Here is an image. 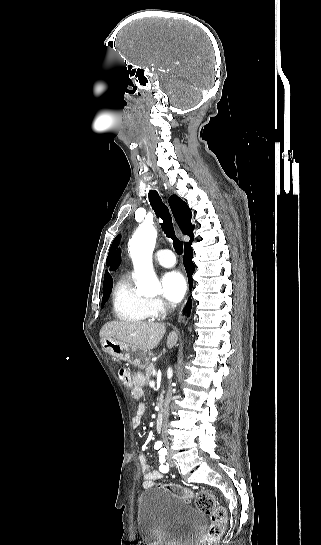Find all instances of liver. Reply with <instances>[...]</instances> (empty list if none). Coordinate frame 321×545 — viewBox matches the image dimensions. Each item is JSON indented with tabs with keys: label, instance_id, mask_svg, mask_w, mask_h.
Wrapping results in <instances>:
<instances>
[{
	"label": "liver",
	"instance_id": "6515ba94",
	"mask_svg": "<svg viewBox=\"0 0 321 545\" xmlns=\"http://www.w3.org/2000/svg\"><path fill=\"white\" fill-rule=\"evenodd\" d=\"M162 323H141V321H110L103 325L99 335L101 339H117L141 351H151L165 335ZM177 333L172 331L167 337V347L172 349L177 343Z\"/></svg>",
	"mask_w": 321,
	"mask_h": 545
}]
</instances>
